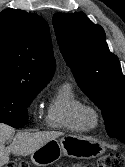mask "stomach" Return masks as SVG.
I'll return each mask as SVG.
<instances>
[{
    "instance_id": "1",
    "label": "stomach",
    "mask_w": 125,
    "mask_h": 167,
    "mask_svg": "<svg viewBox=\"0 0 125 167\" xmlns=\"http://www.w3.org/2000/svg\"><path fill=\"white\" fill-rule=\"evenodd\" d=\"M105 148L99 142L81 135H66L51 140L31 154V161L37 166H46L59 160L62 155L89 159L100 156Z\"/></svg>"
}]
</instances>
